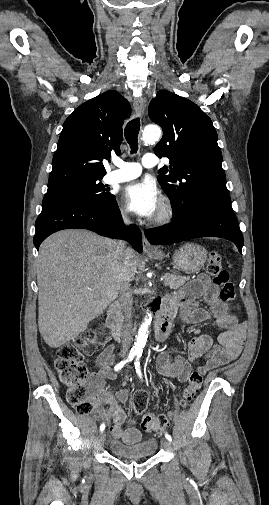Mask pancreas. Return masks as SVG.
Listing matches in <instances>:
<instances>
[{
	"instance_id": "pancreas-1",
	"label": "pancreas",
	"mask_w": 269,
	"mask_h": 505,
	"mask_svg": "<svg viewBox=\"0 0 269 505\" xmlns=\"http://www.w3.org/2000/svg\"><path fill=\"white\" fill-rule=\"evenodd\" d=\"M188 279L189 278L186 276H177V275L169 274V273L164 275V280H165L166 286H169L170 289H174V290H176V289L180 288L182 285H184Z\"/></svg>"
}]
</instances>
